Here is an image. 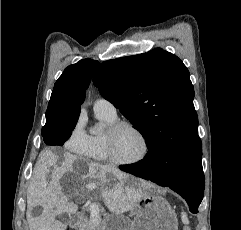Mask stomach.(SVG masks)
<instances>
[{"label": "stomach", "mask_w": 241, "mask_h": 230, "mask_svg": "<svg viewBox=\"0 0 241 230\" xmlns=\"http://www.w3.org/2000/svg\"><path fill=\"white\" fill-rule=\"evenodd\" d=\"M109 181L117 178L109 175ZM133 221H126L112 215L101 224V230H178V220L174 210L163 197L145 190V195L131 210Z\"/></svg>", "instance_id": "obj_1"}]
</instances>
